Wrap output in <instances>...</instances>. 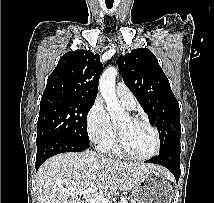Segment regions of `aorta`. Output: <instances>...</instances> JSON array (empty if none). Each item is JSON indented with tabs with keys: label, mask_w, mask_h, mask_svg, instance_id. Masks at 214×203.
Wrapping results in <instances>:
<instances>
[{
	"label": "aorta",
	"mask_w": 214,
	"mask_h": 203,
	"mask_svg": "<svg viewBox=\"0 0 214 203\" xmlns=\"http://www.w3.org/2000/svg\"><path fill=\"white\" fill-rule=\"evenodd\" d=\"M115 67H108L99 80V90L106 103V110L112 121H117L126 116L125 110L117 101L115 93V80L117 75Z\"/></svg>",
	"instance_id": "1"
}]
</instances>
